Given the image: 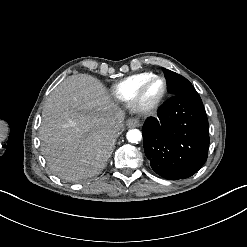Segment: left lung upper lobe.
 <instances>
[{
  "label": "left lung upper lobe",
  "instance_id": "left-lung-upper-lobe-1",
  "mask_svg": "<svg viewBox=\"0 0 247 247\" xmlns=\"http://www.w3.org/2000/svg\"><path fill=\"white\" fill-rule=\"evenodd\" d=\"M163 70L168 82V91L172 96L196 92L193 85L186 78L170 70Z\"/></svg>",
  "mask_w": 247,
  "mask_h": 247
}]
</instances>
